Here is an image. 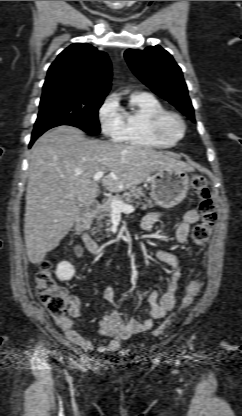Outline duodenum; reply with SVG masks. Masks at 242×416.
Returning <instances> with one entry per match:
<instances>
[{
    "mask_svg": "<svg viewBox=\"0 0 242 416\" xmlns=\"http://www.w3.org/2000/svg\"><path fill=\"white\" fill-rule=\"evenodd\" d=\"M98 207L99 204L97 201L90 202L87 211L79 218L76 226L77 233L92 254H98L100 252L98 243L92 238L88 230L90 217Z\"/></svg>",
    "mask_w": 242,
    "mask_h": 416,
    "instance_id": "410a0bca",
    "label": "duodenum"
}]
</instances>
